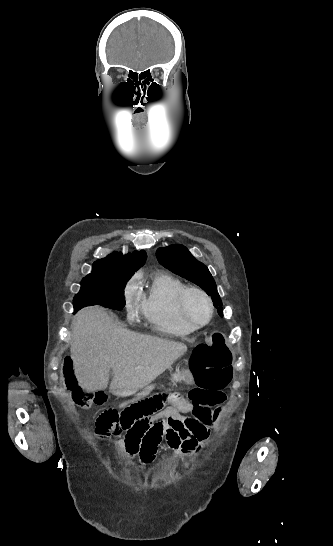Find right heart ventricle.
Listing matches in <instances>:
<instances>
[{"label":"right heart ventricle","mask_w":333,"mask_h":546,"mask_svg":"<svg viewBox=\"0 0 333 546\" xmlns=\"http://www.w3.org/2000/svg\"><path fill=\"white\" fill-rule=\"evenodd\" d=\"M187 286L178 278L156 273L141 294L145 320L159 331L174 337H187L195 329L187 325L178 310V298Z\"/></svg>","instance_id":"e07e8e85"}]
</instances>
